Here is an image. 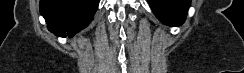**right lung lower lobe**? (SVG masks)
<instances>
[{
  "instance_id": "1",
  "label": "right lung lower lobe",
  "mask_w": 244,
  "mask_h": 73,
  "mask_svg": "<svg viewBox=\"0 0 244 73\" xmlns=\"http://www.w3.org/2000/svg\"><path fill=\"white\" fill-rule=\"evenodd\" d=\"M99 0H40V13L49 31L72 37L92 20Z\"/></svg>"
}]
</instances>
